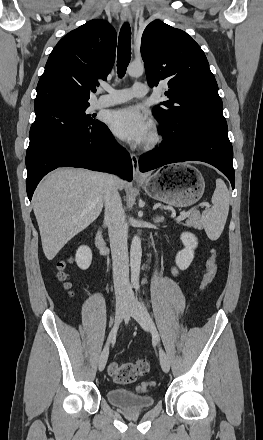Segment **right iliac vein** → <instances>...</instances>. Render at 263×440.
I'll return each instance as SVG.
<instances>
[{
  "mask_svg": "<svg viewBox=\"0 0 263 440\" xmlns=\"http://www.w3.org/2000/svg\"><path fill=\"white\" fill-rule=\"evenodd\" d=\"M126 306H127V300L126 299H119V300H117L116 312H115V318H116V323L117 324L125 316ZM108 356H109V346L107 345L103 349V351H102V353L100 354V357H99V362H98L99 371H102L105 368L107 360H108Z\"/></svg>",
  "mask_w": 263,
  "mask_h": 440,
  "instance_id": "63e3f726",
  "label": "right iliac vein"
}]
</instances>
